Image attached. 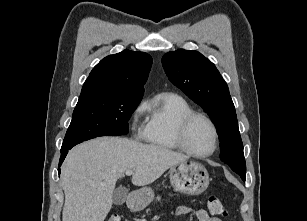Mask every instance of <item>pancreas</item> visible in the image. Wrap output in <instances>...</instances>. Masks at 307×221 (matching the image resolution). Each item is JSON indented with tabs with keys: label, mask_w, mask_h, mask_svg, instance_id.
I'll return each instance as SVG.
<instances>
[{
	"label": "pancreas",
	"mask_w": 307,
	"mask_h": 221,
	"mask_svg": "<svg viewBox=\"0 0 307 221\" xmlns=\"http://www.w3.org/2000/svg\"><path fill=\"white\" fill-rule=\"evenodd\" d=\"M156 200H157V201H160V200H161V197H160V196H157Z\"/></svg>",
	"instance_id": "obj_1"
}]
</instances>
